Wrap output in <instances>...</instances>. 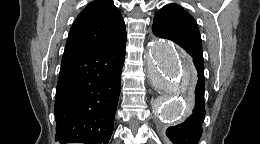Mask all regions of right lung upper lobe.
Segmentation results:
<instances>
[{
    "label": "right lung upper lobe",
    "instance_id": "right-lung-upper-lobe-1",
    "mask_svg": "<svg viewBox=\"0 0 260 144\" xmlns=\"http://www.w3.org/2000/svg\"><path fill=\"white\" fill-rule=\"evenodd\" d=\"M125 40V23L113 1L95 0L82 10L74 21L63 57L112 46Z\"/></svg>",
    "mask_w": 260,
    "mask_h": 144
}]
</instances>
